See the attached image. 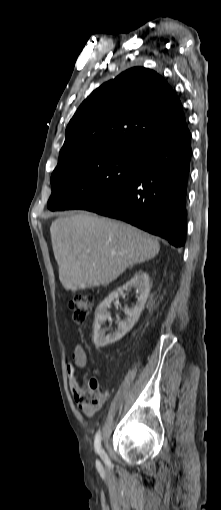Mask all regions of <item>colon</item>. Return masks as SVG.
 I'll use <instances>...</instances> for the list:
<instances>
[{"instance_id": "1", "label": "colon", "mask_w": 221, "mask_h": 510, "mask_svg": "<svg viewBox=\"0 0 221 510\" xmlns=\"http://www.w3.org/2000/svg\"><path fill=\"white\" fill-rule=\"evenodd\" d=\"M93 300L89 294H79L70 302L73 320L76 323H84L91 311ZM81 404L88 410H98L104 401V394L96 379H89L86 389H83Z\"/></svg>"}]
</instances>
